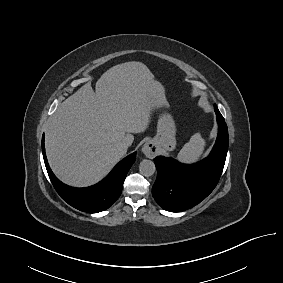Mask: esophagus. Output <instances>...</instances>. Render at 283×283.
Instances as JSON below:
<instances>
[{"label":"esophagus","instance_id":"esophagus-1","mask_svg":"<svg viewBox=\"0 0 283 283\" xmlns=\"http://www.w3.org/2000/svg\"><path fill=\"white\" fill-rule=\"evenodd\" d=\"M142 152L146 157L154 158L158 155V147L153 141H149L143 145Z\"/></svg>","mask_w":283,"mask_h":283}]
</instances>
